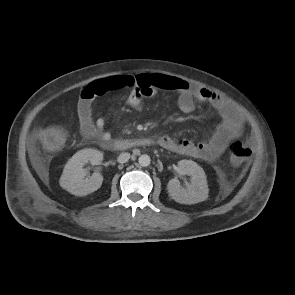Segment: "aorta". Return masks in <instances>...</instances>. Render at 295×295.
I'll return each mask as SVG.
<instances>
[{"label":"aorta","instance_id":"obj_1","mask_svg":"<svg viewBox=\"0 0 295 295\" xmlns=\"http://www.w3.org/2000/svg\"><path fill=\"white\" fill-rule=\"evenodd\" d=\"M138 162L141 166L147 167L150 165L151 159L148 155L143 154L139 157Z\"/></svg>","mask_w":295,"mask_h":295}]
</instances>
